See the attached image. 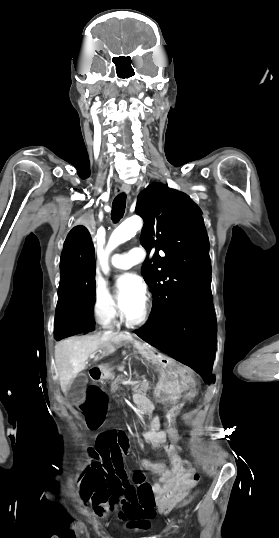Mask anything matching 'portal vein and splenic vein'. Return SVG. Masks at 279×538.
<instances>
[{
  "instance_id": "obj_1",
  "label": "portal vein and splenic vein",
  "mask_w": 279,
  "mask_h": 538,
  "mask_svg": "<svg viewBox=\"0 0 279 538\" xmlns=\"http://www.w3.org/2000/svg\"><path fill=\"white\" fill-rule=\"evenodd\" d=\"M96 357V352H91L90 358ZM135 383H145V380H125V385H135Z\"/></svg>"
}]
</instances>
